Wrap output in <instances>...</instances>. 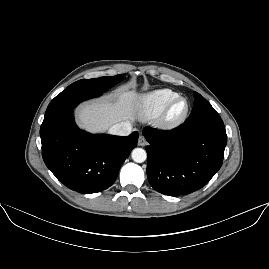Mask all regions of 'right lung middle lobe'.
<instances>
[{
    "label": "right lung middle lobe",
    "mask_w": 269,
    "mask_h": 269,
    "mask_svg": "<svg viewBox=\"0 0 269 269\" xmlns=\"http://www.w3.org/2000/svg\"><path fill=\"white\" fill-rule=\"evenodd\" d=\"M123 79L122 75L116 76H104L95 79H82L76 81L67 87L68 90L79 89L85 92L96 91V92H105L110 87L114 86Z\"/></svg>",
    "instance_id": "obj_1"
}]
</instances>
